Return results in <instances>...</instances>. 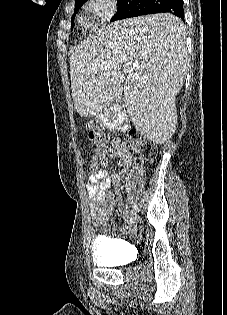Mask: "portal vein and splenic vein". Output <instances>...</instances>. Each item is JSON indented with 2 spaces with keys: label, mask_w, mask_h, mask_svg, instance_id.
Here are the masks:
<instances>
[{
  "label": "portal vein and splenic vein",
  "mask_w": 227,
  "mask_h": 315,
  "mask_svg": "<svg viewBox=\"0 0 227 315\" xmlns=\"http://www.w3.org/2000/svg\"><path fill=\"white\" fill-rule=\"evenodd\" d=\"M124 72H128V69H127V68H124Z\"/></svg>",
  "instance_id": "portal-vein-and-splenic-vein-1"
}]
</instances>
